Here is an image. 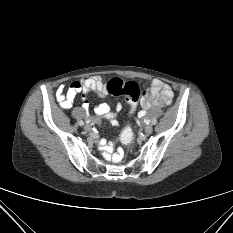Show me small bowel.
Masks as SVG:
<instances>
[{
    "label": "small bowel",
    "mask_w": 233,
    "mask_h": 233,
    "mask_svg": "<svg viewBox=\"0 0 233 233\" xmlns=\"http://www.w3.org/2000/svg\"><path fill=\"white\" fill-rule=\"evenodd\" d=\"M65 90L64 85H60L56 91V98L63 109L72 107L77 94L82 92V108L91 122H99L101 119H106L112 126H117V113L122 109V105L118 103L115 109L110 105L102 103L94 107V115H89V101L86 93L89 91H96L102 96L109 93L107 84L100 76H93L85 80L73 81L69 88ZM173 99V90L171 86L159 79H153L145 96L141 99V109L138 111V117L146 116L147 109L151 106H166L171 104ZM104 154L108 160L119 162L123 157V150L116 147L114 143H109L104 146Z\"/></svg>",
    "instance_id": "obj_1"
}]
</instances>
